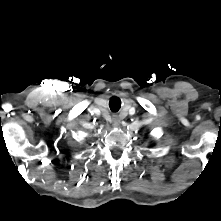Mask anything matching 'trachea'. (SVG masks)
Instances as JSON below:
<instances>
[{"label": "trachea", "mask_w": 221, "mask_h": 221, "mask_svg": "<svg viewBox=\"0 0 221 221\" xmlns=\"http://www.w3.org/2000/svg\"><path fill=\"white\" fill-rule=\"evenodd\" d=\"M111 111L117 112L121 108V100L118 97H112L109 101Z\"/></svg>", "instance_id": "trachea-1"}]
</instances>
